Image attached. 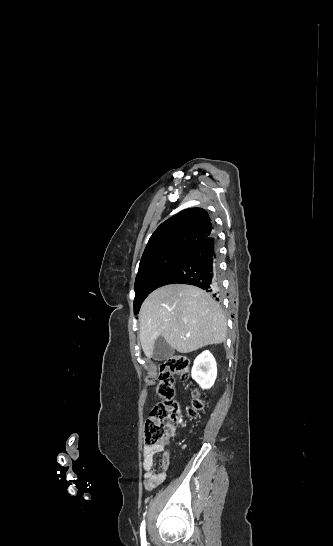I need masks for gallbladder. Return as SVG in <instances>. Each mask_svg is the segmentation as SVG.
Wrapping results in <instances>:
<instances>
[{
  "label": "gallbladder",
  "instance_id": "1",
  "mask_svg": "<svg viewBox=\"0 0 333 546\" xmlns=\"http://www.w3.org/2000/svg\"><path fill=\"white\" fill-rule=\"evenodd\" d=\"M174 353H175V349H173L170 345H168L165 339L162 336H160L155 341L152 358L156 361H163L173 356Z\"/></svg>",
  "mask_w": 333,
  "mask_h": 546
}]
</instances>
